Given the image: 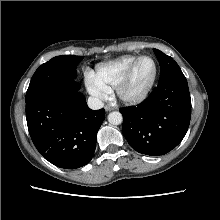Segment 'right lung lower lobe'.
I'll list each match as a JSON object with an SVG mask.
<instances>
[{
  "label": "right lung lower lobe",
  "instance_id": "1",
  "mask_svg": "<svg viewBox=\"0 0 220 220\" xmlns=\"http://www.w3.org/2000/svg\"><path fill=\"white\" fill-rule=\"evenodd\" d=\"M75 90L47 93L26 102V119L31 139L43 157L65 169L86 165L96 147V135L105 110H91L79 84Z\"/></svg>",
  "mask_w": 220,
  "mask_h": 220
}]
</instances>
